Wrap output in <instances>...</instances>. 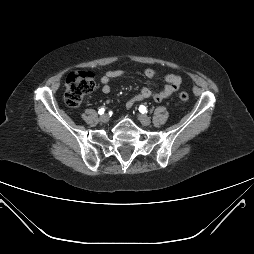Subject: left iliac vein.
Returning <instances> with one entry per match:
<instances>
[{"instance_id": "obj_1", "label": "left iliac vein", "mask_w": 254, "mask_h": 254, "mask_svg": "<svg viewBox=\"0 0 254 254\" xmlns=\"http://www.w3.org/2000/svg\"><path fill=\"white\" fill-rule=\"evenodd\" d=\"M137 117L142 125L149 126L151 124L150 118L147 117L146 115L138 114Z\"/></svg>"}]
</instances>
